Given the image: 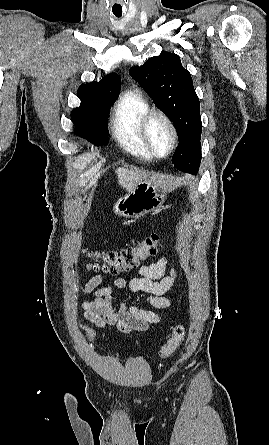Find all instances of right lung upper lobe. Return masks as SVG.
I'll list each match as a JSON object with an SVG mask.
<instances>
[{
  "mask_svg": "<svg viewBox=\"0 0 269 445\" xmlns=\"http://www.w3.org/2000/svg\"><path fill=\"white\" fill-rule=\"evenodd\" d=\"M121 88V79L117 74H108L99 82L81 85L77 96L81 99V107L76 110L87 109L92 106L113 104Z\"/></svg>",
  "mask_w": 269,
  "mask_h": 445,
  "instance_id": "cb5924a9",
  "label": "right lung upper lobe"
}]
</instances>
